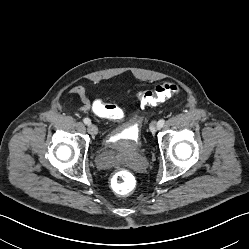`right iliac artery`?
I'll use <instances>...</instances> for the list:
<instances>
[{
	"label": "right iliac artery",
	"instance_id": "right-iliac-artery-1",
	"mask_svg": "<svg viewBox=\"0 0 249 249\" xmlns=\"http://www.w3.org/2000/svg\"><path fill=\"white\" fill-rule=\"evenodd\" d=\"M83 122H84L86 125L91 124V120H90L89 118H84V119H83Z\"/></svg>",
	"mask_w": 249,
	"mask_h": 249
}]
</instances>
